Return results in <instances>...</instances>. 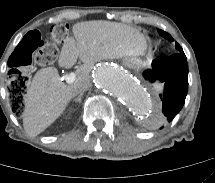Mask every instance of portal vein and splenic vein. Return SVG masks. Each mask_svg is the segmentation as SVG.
Wrapping results in <instances>:
<instances>
[{"label":"portal vein and splenic vein","instance_id":"portal-vein-and-splenic-vein-1","mask_svg":"<svg viewBox=\"0 0 215 183\" xmlns=\"http://www.w3.org/2000/svg\"><path fill=\"white\" fill-rule=\"evenodd\" d=\"M76 79V74L75 73H69L67 76H66V82L68 84H71L75 81Z\"/></svg>","mask_w":215,"mask_h":183}]
</instances>
